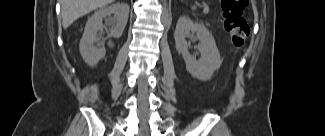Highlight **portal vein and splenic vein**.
Segmentation results:
<instances>
[{"label":"portal vein and splenic vein","mask_w":325,"mask_h":136,"mask_svg":"<svg viewBox=\"0 0 325 136\" xmlns=\"http://www.w3.org/2000/svg\"><path fill=\"white\" fill-rule=\"evenodd\" d=\"M208 11H209V7L207 6V5H205V7H204V13H208Z\"/></svg>","instance_id":"obj_1"}]
</instances>
